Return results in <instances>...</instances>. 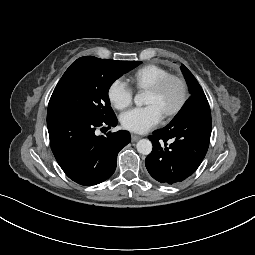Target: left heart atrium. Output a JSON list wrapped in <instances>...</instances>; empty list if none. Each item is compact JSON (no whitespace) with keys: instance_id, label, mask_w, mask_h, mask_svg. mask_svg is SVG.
Segmentation results:
<instances>
[{"instance_id":"obj_1","label":"left heart atrium","mask_w":255,"mask_h":255,"mask_svg":"<svg viewBox=\"0 0 255 255\" xmlns=\"http://www.w3.org/2000/svg\"><path fill=\"white\" fill-rule=\"evenodd\" d=\"M163 117L162 111L155 104L130 109L121 115L123 128L135 132L145 133L155 127Z\"/></svg>"}]
</instances>
